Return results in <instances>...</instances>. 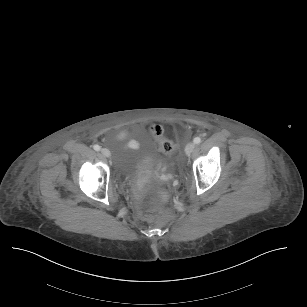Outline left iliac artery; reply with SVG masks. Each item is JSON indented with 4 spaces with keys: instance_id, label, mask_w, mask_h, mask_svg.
Masks as SVG:
<instances>
[{
    "instance_id": "1",
    "label": "left iliac artery",
    "mask_w": 307,
    "mask_h": 307,
    "mask_svg": "<svg viewBox=\"0 0 307 307\" xmlns=\"http://www.w3.org/2000/svg\"><path fill=\"white\" fill-rule=\"evenodd\" d=\"M193 142H194L195 144H200V143H201V138H200V137H195L194 140H193Z\"/></svg>"
}]
</instances>
